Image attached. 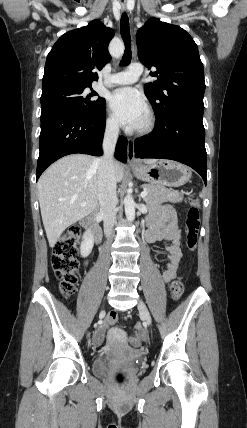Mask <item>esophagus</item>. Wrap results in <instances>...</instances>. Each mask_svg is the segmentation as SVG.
<instances>
[{"label":"esophagus","instance_id":"esophagus-1","mask_svg":"<svg viewBox=\"0 0 247 428\" xmlns=\"http://www.w3.org/2000/svg\"><path fill=\"white\" fill-rule=\"evenodd\" d=\"M122 10H126V6L122 5ZM127 161L129 165H137L138 162L135 159V151H134V141L132 139H128L127 141Z\"/></svg>","mask_w":247,"mask_h":428}]
</instances>
